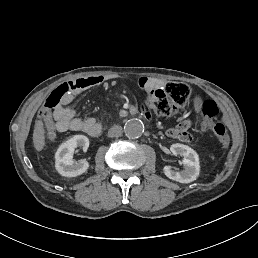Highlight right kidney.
Listing matches in <instances>:
<instances>
[{
	"label": "right kidney",
	"mask_w": 258,
	"mask_h": 258,
	"mask_svg": "<svg viewBox=\"0 0 258 258\" xmlns=\"http://www.w3.org/2000/svg\"><path fill=\"white\" fill-rule=\"evenodd\" d=\"M77 147H81L86 152L89 147V139L84 135H74L57 149L55 153V168L60 175L76 177L88 169L89 163L85 159L78 162L73 161L74 150Z\"/></svg>",
	"instance_id": "obj_1"
}]
</instances>
